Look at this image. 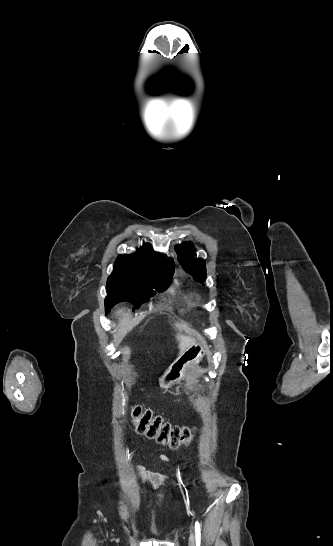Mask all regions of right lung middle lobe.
Wrapping results in <instances>:
<instances>
[{"mask_svg":"<svg viewBox=\"0 0 333 546\" xmlns=\"http://www.w3.org/2000/svg\"><path fill=\"white\" fill-rule=\"evenodd\" d=\"M174 272V264L160 263L157 266L156 275L143 276L126 272L121 266L115 264L114 272L109 276L106 290L108 296L105 299L106 314L118 302L127 301L138 305L153 294L152 288L161 292L170 284L163 278L165 273Z\"/></svg>","mask_w":333,"mask_h":546,"instance_id":"right-lung-middle-lobe-1","label":"right lung middle lobe"}]
</instances>
